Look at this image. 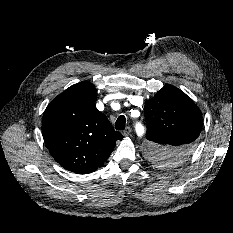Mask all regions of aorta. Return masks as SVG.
Instances as JSON below:
<instances>
[{"instance_id": "obj_1", "label": "aorta", "mask_w": 233, "mask_h": 233, "mask_svg": "<svg viewBox=\"0 0 233 233\" xmlns=\"http://www.w3.org/2000/svg\"><path fill=\"white\" fill-rule=\"evenodd\" d=\"M136 133L139 137H142L145 133V128L141 123L136 124Z\"/></svg>"}]
</instances>
